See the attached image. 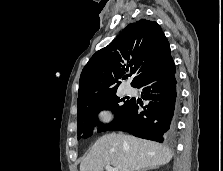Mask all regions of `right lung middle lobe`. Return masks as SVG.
I'll return each mask as SVG.
<instances>
[{"instance_id":"right-lung-middle-lobe-1","label":"right lung middle lobe","mask_w":223,"mask_h":171,"mask_svg":"<svg viewBox=\"0 0 223 171\" xmlns=\"http://www.w3.org/2000/svg\"><path fill=\"white\" fill-rule=\"evenodd\" d=\"M117 97L116 93L96 100L88 105L78 108L77 112V135L78 139L87 138L93 134V131L98 127L97 131H105L109 126L119 121L129 109L132 99L124 101ZM124 101V103H122ZM109 109L115 113L114 121L109 125H103L98 120V113L101 110Z\"/></svg>"}]
</instances>
